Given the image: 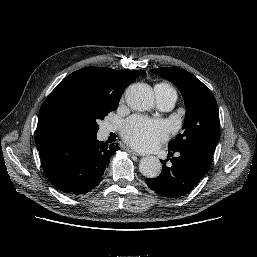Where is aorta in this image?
<instances>
[{"instance_id": "obj_1", "label": "aorta", "mask_w": 257, "mask_h": 257, "mask_svg": "<svg viewBox=\"0 0 257 257\" xmlns=\"http://www.w3.org/2000/svg\"><path fill=\"white\" fill-rule=\"evenodd\" d=\"M125 100L133 110L146 111L153 107L154 93L150 86L136 83L126 89ZM139 170L143 176L155 178L161 173L162 166L157 157L147 156L141 159Z\"/></svg>"}]
</instances>
